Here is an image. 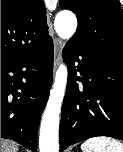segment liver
Masks as SVG:
<instances>
[{
  "label": "liver",
  "instance_id": "6515ba94",
  "mask_svg": "<svg viewBox=\"0 0 123 152\" xmlns=\"http://www.w3.org/2000/svg\"><path fill=\"white\" fill-rule=\"evenodd\" d=\"M1 152H18V144L7 139H1Z\"/></svg>",
  "mask_w": 123,
  "mask_h": 152
}]
</instances>
